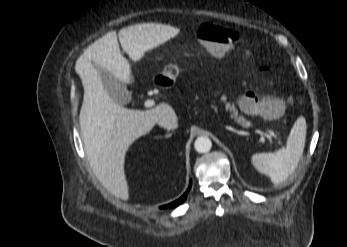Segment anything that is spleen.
<instances>
[{
	"mask_svg": "<svg viewBox=\"0 0 347 247\" xmlns=\"http://www.w3.org/2000/svg\"><path fill=\"white\" fill-rule=\"evenodd\" d=\"M307 126L304 117H299L287 139L286 148L275 153H258L251 157L253 166L267 175L275 184H281L295 171L302 157L306 142Z\"/></svg>",
	"mask_w": 347,
	"mask_h": 247,
	"instance_id": "spleen-1",
	"label": "spleen"
}]
</instances>
